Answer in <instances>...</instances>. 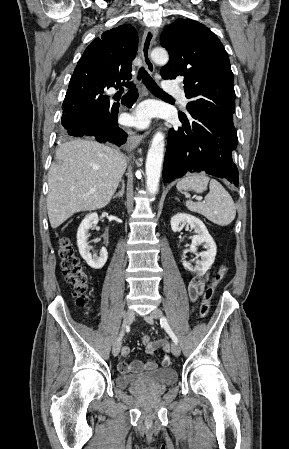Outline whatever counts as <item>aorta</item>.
Wrapping results in <instances>:
<instances>
[{"label": "aorta", "mask_w": 289, "mask_h": 449, "mask_svg": "<svg viewBox=\"0 0 289 449\" xmlns=\"http://www.w3.org/2000/svg\"><path fill=\"white\" fill-rule=\"evenodd\" d=\"M152 60L158 65H165L169 60L168 53L163 48H155L151 52ZM164 135L157 132L151 142L146 159V188L151 195L158 192L161 167L164 157Z\"/></svg>", "instance_id": "762f6f07"}]
</instances>
